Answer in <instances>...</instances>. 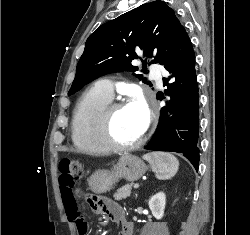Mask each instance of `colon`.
Wrapping results in <instances>:
<instances>
[{"label": "colon", "instance_id": "1", "mask_svg": "<svg viewBox=\"0 0 250 235\" xmlns=\"http://www.w3.org/2000/svg\"><path fill=\"white\" fill-rule=\"evenodd\" d=\"M59 183L62 187L71 188L83 175V165L79 159H63L59 162Z\"/></svg>", "mask_w": 250, "mask_h": 235}]
</instances>
